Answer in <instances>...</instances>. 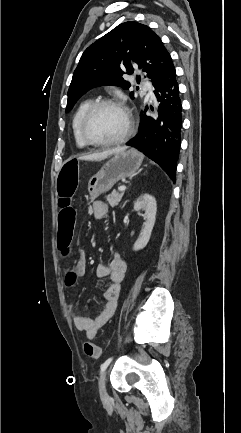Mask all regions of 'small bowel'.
Instances as JSON below:
<instances>
[{
	"mask_svg": "<svg viewBox=\"0 0 241 433\" xmlns=\"http://www.w3.org/2000/svg\"><path fill=\"white\" fill-rule=\"evenodd\" d=\"M92 212L95 218H104L109 212V206L104 201L96 200L92 204ZM126 270V262L118 254H114L112 256L109 264H99L96 267L97 277L108 278L109 284L103 295V306L100 312L95 317H86L77 314L73 311V306L70 305L69 308L72 313V319L75 327L79 331L85 332L88 339H93L99 329L104 326L115 313L121 285L124 280ZM85 271L86 255L84 251L80 250L77 261V273L79 275H84Z\"/></svg>",
	"mask_w": 241,
	"mask_h": 433,
	"instance_id": "obj_1",
	"label": "small bowel"
}]
</instances>
